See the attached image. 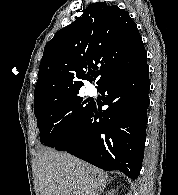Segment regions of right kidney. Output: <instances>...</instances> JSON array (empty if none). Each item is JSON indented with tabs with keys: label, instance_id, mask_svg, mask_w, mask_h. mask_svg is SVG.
Wrapping results in <instances>:
<instances>
[{
	"label": "right kidney",
	"instance_id": "ca27d5eb",
	"mask_svg": "<svg viewBox=\"0 0 178 195\" xmlns=\"http://www.w3.org/2000/svg\"><path fill=\"white\" fill-rule=\"evenodd\" d=\"M114 190L109 191L106 195H114Z\"/></svg>",
	"mask_w": 178,
	"mask_h": 195
}]
</instances>
